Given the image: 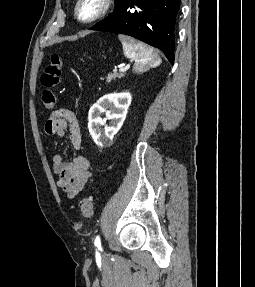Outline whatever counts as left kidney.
I'll use <instances>...</instances> for the list:
<instances>
[{
	"instance_id": "5707ae66",
	"label": "left kidney",
	"mask_w": 255,
	"mask_h": 287,
	"mask_svg": "<svg viewBox=\"0 0 255 287\" xmlns=\"http://www.w3.org/2000/svg\"><path fill=\"white\" fill-rule=\"evenodd\" d=\"M131 100L132 96L129 92L106 94L91 106L88 114V128L95 144L101 147L111 144L112 138L120 130L126 118ZM102 114H105L106 118H101ZM106 120H110V126H107Z\"/></svg>"
}]
</instances>
